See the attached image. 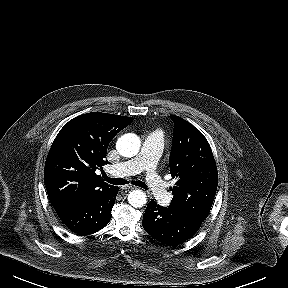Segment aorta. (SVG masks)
I'll return each instance as SVG.
<instances>
[{
    "label": "aorta",
    "instance_id": "aorta-1",
    "mask_svg": "<svg viewBox=\"0 0 288 288\" xmlns=\"http://www.w3.org/2000/svg\"><path fill=\"white\" fill-rule=\"evenodd\" d=\"M116 148L122 156L133 157L139 152L140 139L136 134H124L118 139ZM128 202L135 208H141L147 203V196L142 190H133L128 194Z\"/></svg>",
    "mask_w": 288,
    "mask_h": 288
}]
</instances>
